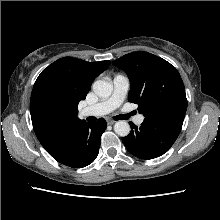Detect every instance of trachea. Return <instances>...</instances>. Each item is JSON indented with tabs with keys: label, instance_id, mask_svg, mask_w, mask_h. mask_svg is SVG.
Wrapping results in <instances>:
<instances>
[{
	"label": "trachea",
	"instance_id": "trachea-1",
	"mask_svg": "<svg viewBox=\"0 0 220 220\" xmlns=\"http://www.w3.org/2000/svg\"><path fill=\"white\" fill-rule=\"evenodd\" d=\"M135 111L129 113V114H121V115H118V116H115L114 117V120H126V119H129L132 115H135Z\"/></svg>",
	"mask_w": 220,
	"mask_h": 220
}]
</instances>
